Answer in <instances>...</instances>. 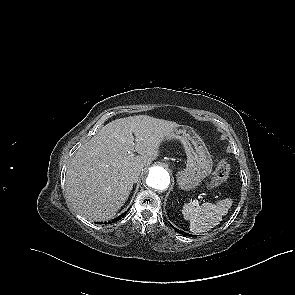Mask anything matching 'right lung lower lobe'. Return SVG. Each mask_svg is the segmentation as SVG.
<instances>
[{
    "instance_id": "obj_1",
    "label": "right lung lower lobe",
    "mask_w": 295,
    "mask_h": 295,
    "mask_svg": "<svg viewBox=\"0 0 295 295\" xmlns=\"http://www.w3.org/2000/svg\"><path fill=\"white\" fill-rule=\"evenodd\" d=\"M125 214H126V212L123 213L122 215H120L118 218L114 219L113 222H114V221L121 220V219L125 216Z\"/></svg>"
}]
</instances>
